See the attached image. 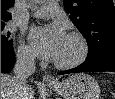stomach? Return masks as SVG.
<instances>
[{"label":"stomach","instance_id":"0dacf381","mask_svg":"<svg viewBox=\"0 0 115 99\" xmlns=\"http://www.w3.org/2000/svg\"><path fill=\"white\" fill-rule=\"evenodd\" d=\"M49 87L64 99H99L101 92L98 82L84 73L72 75Z\"/></svg>","mask_w":115,"mask_h":99}]
</instances>
